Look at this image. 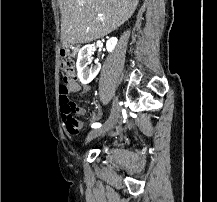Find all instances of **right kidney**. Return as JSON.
I'll return each mask as SVG.
<instances>
[{"mask_svg": "<svg viewBox=\"0 0 217 202\" xmlns=\"http://www.w3.org/2000/svg\"><path fill=\"white\" fill-rule=\"evenodd\" d=\"M117 44V38H109L106 42L107 52H112ZM94 50L92 46H83L81 50H79L76 68L78 72V78L81 84H90L94 78H96L100 68H88L89 64H91L93 58H91Z\"/></svg>", "mask_w": 217, "mask_h": 202, "instance_id": "obj_1", "label": "right kidney"}]
</instances>
